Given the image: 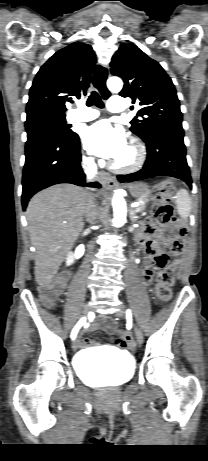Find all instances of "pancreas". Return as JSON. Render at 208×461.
Listing matches in <instances>:
<instances>
[{
    "mask_svg": "<svg viewBox=\"0 0 208 461\" xmlns=\"http://www.w3.org/2000/svg\"><path fill=\"white\" fill-rule=\"evenodd\" d=\"M148 202H149V197L148 196L139 199L140 206L138 207L137 211L140 212V211L145 210Z\"/></svg>",
    "mask_w": 208,
    "mask_h": 461,
    "instance_id": "obj_1",
    "label": "pancreas"
}]
</instances>
